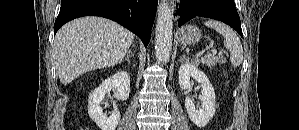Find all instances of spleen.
Wrapping results in <instances>:
<instances>
[{
  "label": "spleen",
  "mask_w": 299,
  "mask_h": 130,
  "mask_svg": "<svg viewBox=\"0 0 299 130\" xmlns=\"http://www.w3.org/2000/svg\"><path fill=\"white\" fill-rule=\"evenodd\" d=\"M204 25L216 30L224 37V46L230 51L231 64L239 66L243 61V47L237 34L227 25L213 20L204 22Z\"/></svg>",
  "instance_id": "spleen-1"
}]
</instances>
